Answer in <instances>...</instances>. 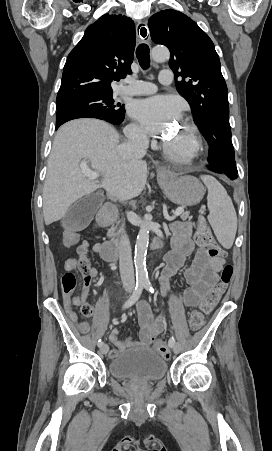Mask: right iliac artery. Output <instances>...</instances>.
I'll use <instances>...</instances> for the list:
<instances>
[{
	"label": "right iliac artery",
	"instance_id": "1",
	"mask_svg": "<svg viewBox=\"0 0 272 451\" xmlns=\"http://www.w3.org/2000/svg\"><path fill=\"white\" fill-rule=\"evenodd\" d=\"M145 288V283L144 281H140L136 283L135 289L132 293V295L129 297V299L125 302L123 308H129L131 307L135 302L138 301V299L140 298L143 289ZM103 345L102 340L100 339L98 341V347H101Z\"/></svg>",
	"mask_w": 272,
	"mask_h": 451
}]
</instances>
